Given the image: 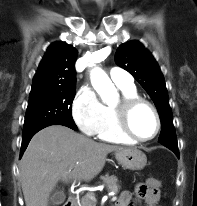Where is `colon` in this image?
<instances>
[{"label":"colon","instance_id":"1","mask_svg":"<svg viewBox=\"0 0 197 206\" xmlns=\"http://www.w3.org/2000/svg\"><path fill=\"white\" fill-rule=\"evenodd\" d=\"M160 183L157 179H148L146 184L141 185L140 189H145L146 187L152 188V189H156L157 187H159Z\"/></svg>","mask_w":197,"mask_h":206}]
</instances>
